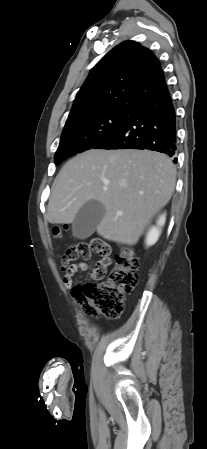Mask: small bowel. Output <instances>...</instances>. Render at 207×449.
<instances>
[{"label": "small bowel", "mask_w": 207, "mask_h": 449, "mask_svg": "<svg viewBox=\"0 0 207 449\" xmlns=\"http://www.w3.org/2000/svg\"><path fill=\"white\" fill-rule=\"evenodd\" d=\"M65 275L63 277V285L65 287H70L73 284V277L79 272H84L88 269V265L84 262L74 263L71 265L64 266Z\"/></svg>", "instance_id": "obj_1"}]
</instances>
